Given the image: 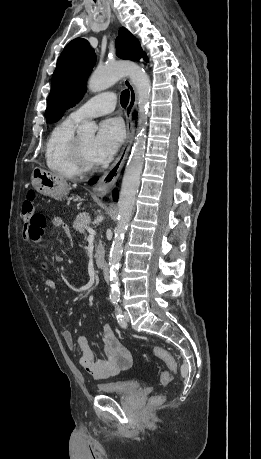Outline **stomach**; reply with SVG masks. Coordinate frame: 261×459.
Segmentation results:
<instances>
[{"label": "stomach", "instance_id": "stomach-1", "mask_svg": "<svg viewBox=\"0 0 261 459\" xmlns=\"http://www.w3.org/2000/svg\"><path fill=\"white\" fill-rule=\"evenodd\" d=\"M31 184L37 192L54 199L66 196L70 190L62 176L40 168L33 169Z\"/></svg>", "mask_w": 261, "mask_h": 459}]
</instances>
